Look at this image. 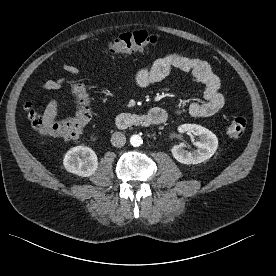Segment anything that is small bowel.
Wrapping results in <instances>:
<instances>
[{"label": "small bowel", "mask_w": 276, "mask_h": 276, "mask_svg": "<svg viewBox=\"0 0 276 276\" xmlns=\"http://www.w3.org/2000/svg\"><path fill=\"white\" fill-rule=\"evenodd\" d=\"M172 70H178L192 74L204 85L203 102H193L189 105L188 111L194 117H208L217 113L224 105V98L219 91L220 80L212 71L210 65L203 60L190 57L183 53H172L158 58L151 66L142 68L136 73L135 81L140 88H148L152 84L166 78ZM63 72L77 76L79 70L70 64H64ZM66 82V78L47 80L42 88L45 90H59ZM157 110L154 107L148 114L152 115ZM164 111V110H163Z\"/></svg>", "instance_id": "obj_1"}]
</instances>
